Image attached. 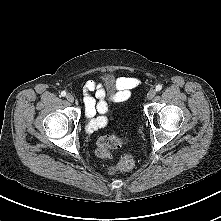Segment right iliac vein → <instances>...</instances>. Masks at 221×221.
I'll return each instance as SVG.
<instances>
[{
    "mask_svg": "<svg viewBox=\"0 0 221 221\" xmlns=\"http://www.w3.org/2000/svg\"><path fill=\"white\" fill-rule=\"evenodd\" d=\"M66 99L68 100V102L73 103L74 102V96L72 94H68L66 96Z\"/></svg>",
    "mask_w": 221,
    "mask_h": 221,
    "instance_id": "1",
    "label": "right iliac vein"
}]
</instances>
